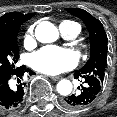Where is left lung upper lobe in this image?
<instances>
[{
    "mask_svg": "<svg viewBox=\"0 0 117 117\" xmlns=\"http://www.w3.org/2000/svg\"><path fill=\"white\" fill-rule=\"evenodd\" d=\"M79 17L86 25L90 38V59L78 71L81 74L94 75L103 84L107 67V35L102 23L83 9H66Z\"/></svg>",
    "mask_w": 117,
    "mask_h": 117,
    "instance_id": "1",
    "label": "left lung upper lobe"
}]
</instances>
